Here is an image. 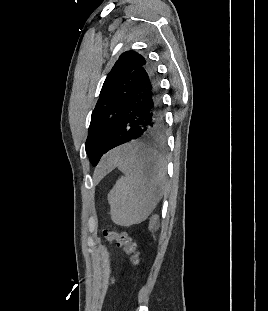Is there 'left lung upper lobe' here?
Wrapping results in <instances>:
<instances>
[{
  "instance_id": "left-lung-upper-lobe-1",
  "label": "left lung upper lobe",
  "mask_w": 268,
  "mask_h": 311,
  "mask_svg": "<svg viewBox=\"0 0 268 311\" xmlns=\"http://www.w3.org/2000/svg\"><path fill=\"white\" fill-rule=\"evenodd\" d=\"M147 61V58L135 51H126L108 73L91 115L85 143L86 152L94 166L120 128L138 71Z\"/></svg>"
}]
</instances>
